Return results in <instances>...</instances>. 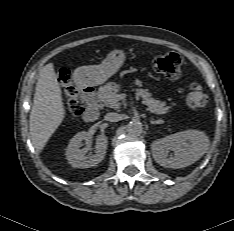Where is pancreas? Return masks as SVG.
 <instances>
[{
    "mask_svg": "<svg viewBox=\"0 0 234 231\" xmlns=\"http://www.w3.org/2000/svg\"><path fill=\"white\" fill-rule=\"evenodd\" d=\"M137 85L135 89L136 98L142 99V103L147 106V110L155 114H165L169 112L170 106H166L165 102H161L151 97V94L147 89H142V83L139 80L134 81ZM120 90V85L114 82H108L104 86L100 87L97 93V99L102 106H108L110 108H118L117 101L115 100L118 92Z\"/></svg>",
    "mask_w": 234,
    "mask_h": 231,
    "instance_id": "cf45deb5",
    "label": "pancreas"
}]
</instances>
